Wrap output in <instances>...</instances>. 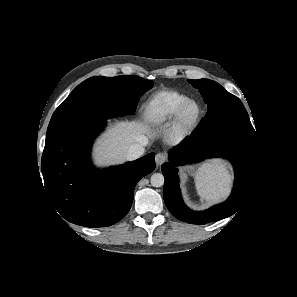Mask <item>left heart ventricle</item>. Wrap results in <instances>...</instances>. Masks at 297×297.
<instances>
[{"instance_id":"b2bd125f","label":"left heart ventricle","mask_w":297,"mask_h":297,"mask_svg":"<svg viewBox=\"0 0 297 297\" xmlns=\"http://www.w3.org/2000/svg\"><path fill=\"white\" fill-rule=\"evenodd\" d=\"M197 112V107L195 105H191L187 108L186 113H185V119L190 120L192 119Z\"/></svg>"}]
</instances>
